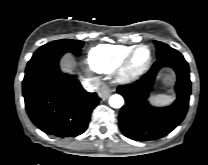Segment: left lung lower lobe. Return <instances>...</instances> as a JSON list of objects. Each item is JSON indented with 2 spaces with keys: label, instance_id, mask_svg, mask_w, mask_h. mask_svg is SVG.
Masks as SVG:
<instances>
[{
  "label": "left lung lower lobe",
  "instance_id": "obj_1",
  "mask_svg": "<svg viewBox=\"0 0 208 165\" xmlns=\"http://www.w3.org/2000/svg\"><path fill=\"white\" fill-rule=\"evenodd\" d=\"M169 66L177 75L175 102L167 107L157 108L149 104V93L158 71ZM126 104L119 114V127L122 133L136 141L159 139L174 130L184 119L191 94L189 66L184 57L176 50L159 58L151 69L132 84L117 88Z\"/></svg>",
  "mask_w": 208,
  "mask_h": 165
}]
</instances>
